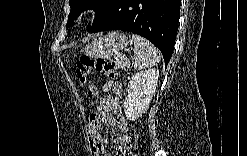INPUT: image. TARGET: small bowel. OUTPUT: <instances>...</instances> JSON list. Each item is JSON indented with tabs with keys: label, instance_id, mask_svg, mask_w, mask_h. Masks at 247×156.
I'll return each instance as SVG.
<instances>
[{
	"label": "small bowel",
	"instance_id": "small-bowel-1",
	"mask_svg": "<svg viewBox=\"0 0 247 156\" xmlns=\"http://www.w3.org/2000/svg\"><path fill=\"white\" fill-rule=\"evenodd\" d=\"M104 91H111L112 93L98 99L99 111L90 116L89 123L86 126L91 153L93 155H110L104 147L107 138L100 133L103 125L107 124L119 128L117 155H127L130 151L132 138L129 134L128 122L120 111V101L123 94L122 86L116 82H107L104 85ZM111 111H114L113 115H110Z\"/></svg>",
	"mask_w": 247,
	"mask_h": 156
}]
</instances>
